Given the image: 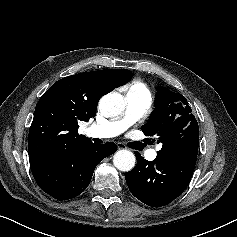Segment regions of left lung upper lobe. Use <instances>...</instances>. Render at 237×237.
<instances>
[{
    "label": "left lung upper lobe",
    "mask_w": 237,
    "mask_h": 237,
    "mask_svg": "<svg viewBox=\"0 0 237 237\" xmlns=\"http://www.w3.org/2000/svg\"><path fill=\"white\" fill-rule=\"evenodd\" d=\"M157 90L155 109L142 126V131L146 136L153 137L152 142L162 144L157 152L160 156L176 158L197 154L199 128L186 98L165 87H158ZM144 141L151 142L150 139Z\"/></svg>",
    "instance_id": "left-lung-upper-lobe-1"
}]
</instances>
